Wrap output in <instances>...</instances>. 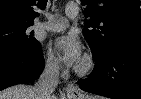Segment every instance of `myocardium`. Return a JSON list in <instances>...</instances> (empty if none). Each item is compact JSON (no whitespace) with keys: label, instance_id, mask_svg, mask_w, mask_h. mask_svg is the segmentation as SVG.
Returning a JSON list of instances; mask_svg holds the SVG:
<instances>
[{"label":"myocardium","instance_id":"obj_1","mask_svg":"<svg viewBox=\"0 0 141 99\" xmlns=\"http://www.w3.org/2000/svg\"><path fill=\"white\" fill-rule=\"evenodd\" d=\"M94 67V58L90 54H86L80 64L76 67V73L80 76H86L94 70Z\"/></svg>","mask_w":141,"mask_h":99}]
</instances>
